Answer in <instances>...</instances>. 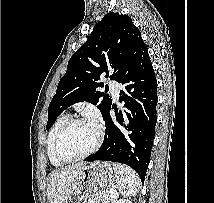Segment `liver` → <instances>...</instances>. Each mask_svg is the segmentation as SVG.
<instances>
[{"label": "liver", "instance_id": "6515ba94", "mask_svg": "<svg viewBox=\"0 0 214 203\" xmlns=\"http://www.w3.org/2000/svg\"><path fill=\"white\" fill-rule=\"evenodd\" d=\"M85 162L73 164L61 170H54L49 176L47 195L49 203H66L77 189Z\"/></svg>", "mask_w": 214, "mask_h": 203}]
</instances>
